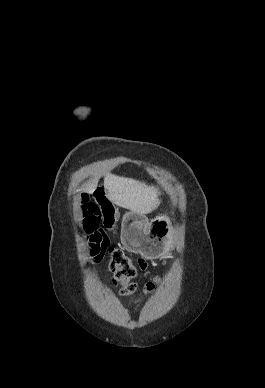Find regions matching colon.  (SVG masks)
<instances>
[{
  "label": "colon",
  "instance_id": "5ec220e1",
  "mask_svg": "<svg viewBox=\"0 0 265 388\" xmlns=\"http://www.w3.org/2000/svg\"><path fill=\"white\" fill-rule=\"evenodd\" d=\"M81 203L91 260L99 262L104 256H107L109 268L113 272L114 284L120 286L121 294L125 296L133 295L137 289L134 283L137 268L132 259L123 251L110 246L107 235V232H114L116 229L115 206L106 197L102 189L95 190L91 195L83 194ZM155 287L156 281L148 282L144 287V293H151Z\"/></svg>",
  "mask_w": 265,
  "mask_h": 388
}]
</instances>
